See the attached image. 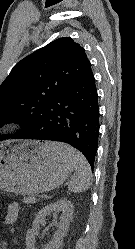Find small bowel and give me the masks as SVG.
Listing matches in <instances>:
<instances>
[{
  "label": "small bowel",
  "instance_id": "c3829d8e",
  "mask_svg": "<svg viewBox=\"0 0 135 249\" xmlns=\"http://www.w3.org/2000/svg\"><path fill=\"white\" fill-rule=\"evenodd\" d=\"M18 213H19L18 205L16 203L10 204L5 216V222L8 224L13 223L18 217Z\"/></svg>",
  "mask_w": 135,
  "mask_h": 249
}]
</instances>
